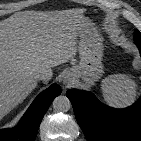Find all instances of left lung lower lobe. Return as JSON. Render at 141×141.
<instances>
[{"instance_id": "0a47b994", "label": "left lung lower lobe", "mask_w": 141, "mask_h": 141, "mask_svg": "<svg viewBox=\"0 0 141 141\" xmlns=\"http://www.w3.org/2000/svg\"><path fill=\"white\" fill-rule=\"evenodd\" d=\"M141 54V40H135ZM76 120L87 141H141V97L131 107L114 109L90 92L67 91Z\"/></svg>"}]
</instances>
